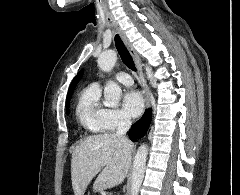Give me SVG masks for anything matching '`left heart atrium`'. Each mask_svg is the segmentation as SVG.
<instances>
[{
    "mask_svg": "<svg viewBox=\"0 0 240 195\" xmlns=\"http://www.w3.org/2000/svg\"><path fill=\"white\" fill-rule=\"evenodd\" d=\"M124 107L132 117L139 116L144 108L142 94L136 90L128 92L124 96Z\"/></svg>",
    "mask_w": 240,
    "mask_h": 195,
    "instance_id": "left-heart-atrium-1",
    "label": "left heart atrium"
}]
</instances>
